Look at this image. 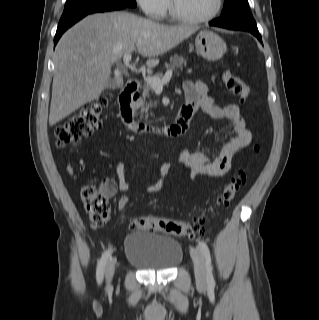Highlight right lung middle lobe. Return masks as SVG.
Here are the masks:
<instances>
[{"instance_id":"obj_1","label":"right lung middle lobe","mask_w":319,"mask_h":320,"mask_svg":"<svg viewBox=\"0 0 319 320\" xmlns=\"http://www.w3.org/2000/svg\"><path fill=\"white\" fill-rule=\"evenodd\" d=\"M109 5H126L135 7V0H67L59 23H64L74 16L95 7Z\"/></svg>"}]
</instances>
